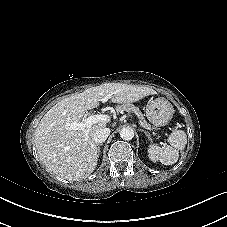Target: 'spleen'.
Segmentation results:
<instances>
[{
  "instance_id": "3e777b00",
  "label": "spleen",
  "mask_w": 227,
  "mask_h": 227,
  "mask_svg": "<svg viewBox=\"0 0 227 227\" xmlns=\"http://www.w3.org/2000/svg\"><path fill=\"white\" fill-rule=\"evenodd\" d=\"M170 145L158 146L150 144L148 147L149 159L153 162L160 161L164 165H172L179 158V150L185 148L187 135L183 130H174L167 139Z\"/></svg>"
}]
</instances>
